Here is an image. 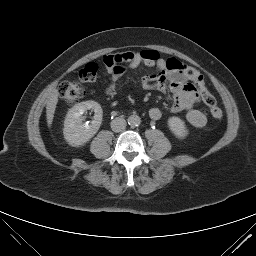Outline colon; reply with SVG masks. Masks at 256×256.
<instances>
[{"label": "colon", "instance_id": "colon-1", "mask_svg": "<svg viewBox=\"0 0 256 256\" xmlns=\"http://www.w3.org/2000/svg\"><path fill=\"white\" fill-rule=\"evenodd\" d=\"M145 56L150 59H157L159 56L157 52L148 50ZM121 62L117 54L106 55L103 58V63L106 69L114 70ZM183 72L193 83L196 90L199 92L202 101L210 108L212 117L217 120L223 118L222 110L216 106V99L214 95L207 89L205 81L200 72L190 66H185ZM98 74V65L95 62H89L79 72V79L82 82H92L96 79ZM58 93L60 97L67 104H74L78 102L85 95L84 87L81 83L76 81H63L58 86Z\"/></svg>", "mask_w": 256, "mask_h": 256}]
</instances>
